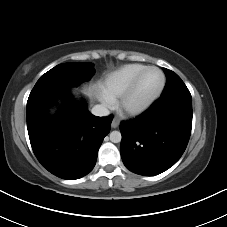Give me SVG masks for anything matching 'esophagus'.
I'll use <instances>...</instances> for the list:
<instances>
[{"label": "esophagus", "mask_w": 227, "mask_h": 227, "mask_svg": "<svg viewBox=\"0 0 227 227\" xmlns=\"http://www.w3.org/2000/svg\"><path fill=\"white\" fill-rule=\"evenodd\" d=\"M119 126V120L117 118H114L112 123H111V127L113 129L117 128Z\"/></svg>", "instance_id": "1"}]
</instances>
